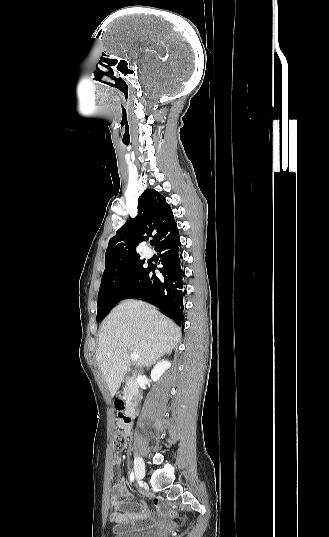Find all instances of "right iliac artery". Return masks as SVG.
<instances>
[{
	"instance_id": "obj_1",
	"label": "right iliac artery",
	"mask_w": 329,
	"mask_h": 537,
	"mask_svg": "<svg viewBox=\"0 0 329 537\" xmlns=\"http://www.w3.org/2000/svg\"><path fill=\"white\" fill-rule=\"evenodd\" d=\"M134 480V472L132 471L130 474V482L132 483Z\"/></svg>"
}]
</instances>
